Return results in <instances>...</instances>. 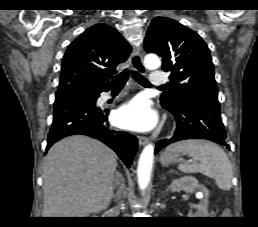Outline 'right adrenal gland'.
Segmentation results:
<instances>
[{
    "instance_id": "2a0ac1e0",
    "label": "right adrenal gland",
    "mask_w": 258,
    "mask_h": 227,
    "mask_svg": "<svg viewBox=\"0 0 258 227\" xmlns=\"http://www.w3.org/2000/svg\"><path fill=\"white\" fill-rule=\"evenodd\" d=\"M117 181H122V182H124V178H123L122 174L119 173V172H116L115 185H116ZM115 197H116V195H113L112 198L115 199Z\"/></svg>"
}]
</instances>
